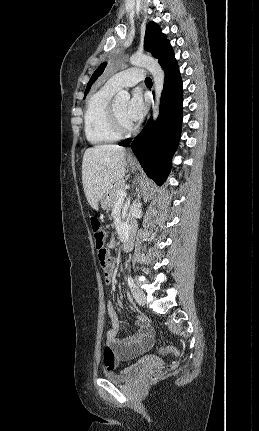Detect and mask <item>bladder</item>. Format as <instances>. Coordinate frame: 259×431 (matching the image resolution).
<instances>
[{
	"instance_id": "1",
	"label": "bladder",
	"mask_w": 259,
	"mask_h": 431,
	"mask_svg": "<svg viewBox=\"0 0 259 431\" xmlns=\"http://www.w3.org/2000/svg\"><path fill=\"white\" fill-rule=\"evenodd\" d=\"M137 371V368L128 367L120 371H104L103 377L114 383H123L128 381Z\"/></svg>"
}]
</instances>
